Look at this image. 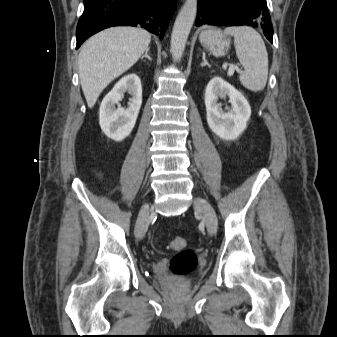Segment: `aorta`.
<instances>
[{
	"instance_id": "aorta-1",
	"label": "aorta",
	"mask_w": 337,
	"mask_h": 337,
	"mask_svg": "<svg viewBox=\"0 0 337 337\" xmlns=\"http://www.w3.org/2000/svg\"><path fill=\"white\" fill-rule=\"evenodd\" d=\"M197 3V0H186L175 20L171 34L170 51L177 61L183 55L189 33L195 21Z\"/></svg>"
}]
</instances>
